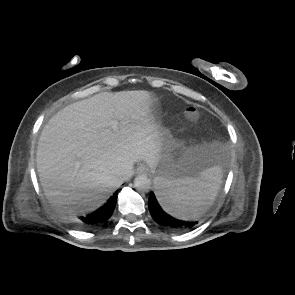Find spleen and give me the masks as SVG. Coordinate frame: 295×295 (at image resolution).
I'll list each match as a JSON object with an SVG mask.
<instances>
[{
	"label": "spleen",
	"mask_w": 295,
	"mask_h": 295,
	"mask_svg": "<svg viewBox=\"0 0 295 295\" xmlns=\"http://www.w3.org/2000/svg\"><path fill=\"white\" fill-rule=\"evenodd\" d=\"M222 182V169L213 166L198 178L156 177V197L170 215L182 220L200 218L215 200Z\"/></svg>",
	"instance_id": "3e777b00"
}]
</instances>
